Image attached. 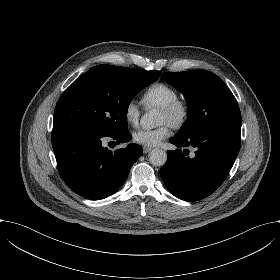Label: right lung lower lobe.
Returning <instances> with one entry per match:
<instances>
[{"instance_id":"obj_1","label":"right lung lower lobe","mask_w":280,"mask_h":280,"mask_svg":"<svg viewBox=\"0 0 280 280\" xmlns=\"http://www.w3.org/2000/svg\"><path fill=\"white\" fill-rule=\"evenodd\" d=\"M105 137L118 144L131 140L128 129L111 136L78 128L52 131V146L62 179L72 191L90 200L104 199L117 191L143 151L141 146L131 143L112 153L102 146Z\"/></svg>"}]
</instances>
